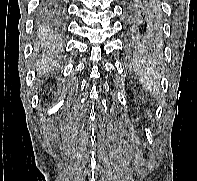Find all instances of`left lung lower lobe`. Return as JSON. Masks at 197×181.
Listing matches in <instances>:
<instances>
[{
	"label": "left lung lower lobe",
	"instance_id": "obj_1",
	"mask_svg": "<svg viewBox=\"0 0 197 181\" xmlns=\"http://www.w3.org/2000/svg\"><path fill=\"white\" fill-rule=\"evenodd\" d=\"M126 49L136 57L161 51V11L159 0H124Z\"/></svg>",
	"mask_w": 197,
	"mask_h": 181
}]
</instances>
